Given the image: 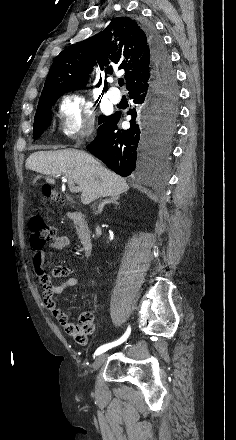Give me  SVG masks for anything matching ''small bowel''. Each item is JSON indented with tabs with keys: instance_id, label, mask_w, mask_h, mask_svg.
<instances>
[{
	"instance_id": "obj_1",
	"label": "small bowel",
	"mask_w": 236,
	"mask_h": 440,
	"mask_svg": "<svg viewBox=\"0 0 236 440\" xmlns=\"http://www.w3.org/2000/svg\"><path fill=\"white\" fill-rule=\"evenodd\" d=\"M70 237L68 235H59L49 245V248L61 251L69 247ZM46 258V250L39 249L33 254L32 264L36 277L43 288L42 301L44 307L58 320L63 330L72 336L80 345H86L89 336L95 329L93 314L90 311H84L80 315V321H69L67 315L58 307L54 300L55 295L62 294L66 289L79 285L77 277L70 276L72 269L66 265H58L49 276L44 270V262ZM52 278H67L60 283H55Z\"/></svg>"
}]
</instances>
